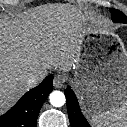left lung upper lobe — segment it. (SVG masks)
I'll use <instances>...</instances> for the list:
<instances>
[{"label":"left lung upper lobe","instance_id":"1","mask_svg":"<svg viewBox=\"0 0 127 127\" xmlns=\"http://www.w3.org/2000/svg\"><path fill=\"white\" fill-rule=\"evenodd\" d=\"M112 20L117 23H127V17L119 10L110 9Z\"/></svg>","mask_w":127,"mask_h":127}]
</instances>
